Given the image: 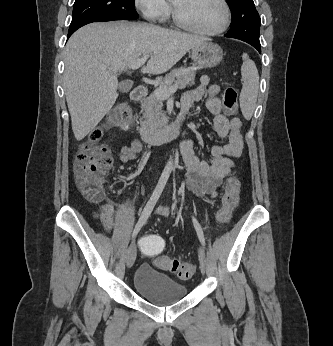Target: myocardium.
Segmentation results:
<instances>
[{"instance_id": "obj_1", "label": "myocardium", "mask_w": 333, "mask_h": 346, "mask_svg": "<svg viewBox=\"0 0 333 346\" xmlns=\"http://www.w3.org/2000/svg\"><path fill=\"white\" fill-rule=\"evenodd\" d=\"M219 2L221 3V5L223 6L224 9V20L222 22V24L213 30H204L201 28H198L194 25H192L191 23H189L188 21H186L178 12V10L176 9L175 5H173V18L175 23L188 31L200 34V35H204V36H216L219 35L223 32H225L230 23H231V18H232V13H231V8L230 5L228 3L227 0H219Z\"/></svg>"}]
</instances>
